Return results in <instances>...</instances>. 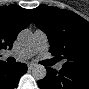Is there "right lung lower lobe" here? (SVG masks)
I'll return each mask as SVG.
<instances>
[{"mask_svg":"<svg viewBox=\"0 0 89 89\" xmlns=\"http://www.w3.org/2000/svg\"><path fill=\"white\" fill-rule=\"evenodd\" d=\"M27 71L26 64L17 62L8 65L0 61V84L4 89H13L17 86L20 77Z\"/></svg>","mask_w":89,"mask_h":89,"instance_id":"1","label":"right lung lower lobe"}]
</instances>
